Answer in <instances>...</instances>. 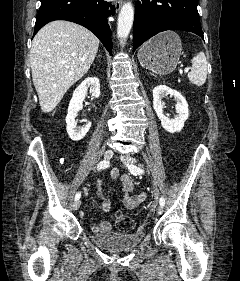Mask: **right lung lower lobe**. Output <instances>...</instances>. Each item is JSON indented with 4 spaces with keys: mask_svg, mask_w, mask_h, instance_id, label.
<instances>
[{
    "mask_svg": "<svg viewBox=\"0 0 240 281\" xmlns=\"http://www.w3.org/2000/svg\"><path fill=\"white\" fill-rule=\"evenodd\" d=\"M34 35L47 23L67 20L92 31L112 53L111 30L107 21L114 15L115 6L104 0H40Z\"/></svg>",
    "mask_w": 240,
    "mask_h": 281,
    "instance_id": "obj_1",
    "label": "right lung lower lobe"
}]
</instances>
